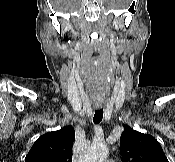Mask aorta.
I'll list each match as a JSON object with an SVG mask.
<instances>
[{
    "label": "aorta",
    "mask_w": 175,
    "mask_h": 162,
    "mask_svg": "<svg viewBox=\"0 0 175 162\" xmlns=\"http://www.w3.org/2000/svg\"><path fill=\"white\" fill-rule=\"evenodd\" d=\"M109 153L107 145L102 142H93L80 162H103Z\"/></svg>",
    "instance_id": "obj_1"
}]
</instances>
